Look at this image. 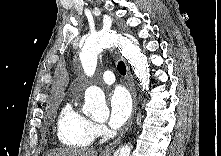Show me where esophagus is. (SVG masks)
Masks as SVG:
<instances>
[{
    "mask_svg": "<svg viewBox=\"0 0 221 156\" xmlns=\"http://www.w3.org/2000/svg\"><path fill=\"white\" fill-rule=\"evenodd\" d=\"M126 68H127V79H128V83H129V88H130V91H131V94L133 97V116H132V119H133L134 114L136 113V109H137V93H136L134 78H133V75L131 73V70H130V67L128 66V64H126ZM131 122H132V120H131ZM123 134H124V132L121 134V136L116 141H114L110 145L106 146L102 150L101 156H111V154L115 150L116 146L121 141Z\"/></svg>",
    "mask_w": 221,
    "mask_h": 156,
    "instance_id": "obj_1",
    "label": "esophagus"
}]
</instances>
